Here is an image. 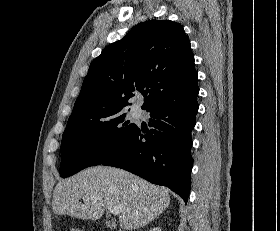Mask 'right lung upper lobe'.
I'll return each mask as SVG.
<instances>
[{
    "instance_id": "1",
    "label": "right lung upper lobe",
    "mask_w": 280,
    "mask_h": 231,
    "mask_svg": "<svg viewBox=\"0 0 280 231\" xmlns=\"http://www.w3.org/2000/svg\"><path fill=\"white\" fill-rule=\"evenodd\" d=\"M191 44L181 24L150 20L95 58L75 102L71 119H92L125 111L136 91L149 89L142 109L196 88Z\"/></svg>"
}]
</instances>
